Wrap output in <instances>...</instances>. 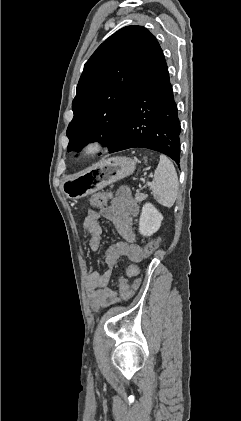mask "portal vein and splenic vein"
Returning a JSON list of instances; mask_svg holds the SVG:
<instances>
[{"label":"portal vein and splenic vein","mask_w":241,"mask_h":421,"mask_svg":"<svg viewBox=\"0 0 241 421\" xmlns=\"http://www.w3.org/2000/svg\"><path fill=\"white\" fill-rule=\"evenodd\" d=\"M147 185H150V182L149 181L147 182Z\"/></svg>","instance_id":"obj_1"}]
</instances>
